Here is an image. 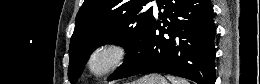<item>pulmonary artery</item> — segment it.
<instances>
[{"mask_svg":"<svg viewBox=\"0 0 260 84\" xmlns=\"http://www.w3.org/2000/svg\"><path fill=\"white\" fill-rule=\"evenodd\" d=\"M156 3H157V2H156L155 0H154V1H152V4H153V5H156Z\"/></svg>","mask_w":260,"mask_h":84,"instance_id":"pulmonary-artery-1","label":"pulmonary artery"}]
</instances>
